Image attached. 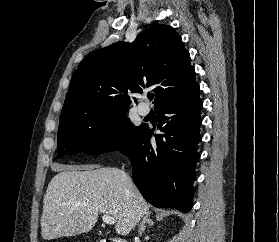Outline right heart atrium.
Instances as JSON below:
<instances>
[{
	"label": "right heart atrium",
	"instance_id": "obj_1",
	"mask_svg": "<svg viewBox=\"0 0 279 242\" xmlns=\"http://www.w3.org/2000/svg\"><path fill=\"white\" fill-rule=\"evenodd\" d=\"M120 140V134L118 131H113L111 132L107 137H106V144L110 147H114L119 143Z\"/></svg>",
	"mask_w": 279,
	"mask_h": 242
}]
</instances>
